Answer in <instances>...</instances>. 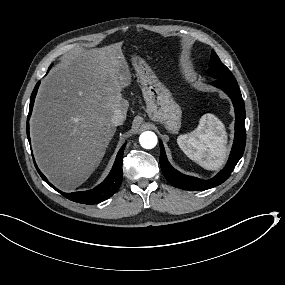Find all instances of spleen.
<instances>
[{"mask_svg": "<svg viewBox=\"0 0 285 285\" xmlns=\"http://www.w3.org/2000/svg\"><path fill=\"white\" fill-rule=\"evenodd\" d=\"M225 132L221 123L210 114L201 116L197 127L178 136L184 154L205 169H216L225 157Z\"/></svg>", "mask_w": 285, "mask_h": 285, "instance_id": "obj_1", "label": "spleen"}]
</instances>
